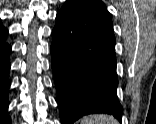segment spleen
Returning a JSON list of instances; mask_svg holds the SVG:
<instances>
[{
  "instance_id": "3e777b00",
  "label": "spleen",
  "mask_w": 156,
  "mask_h": 124,
  "mask_svg": "<svg viewBox=\"0 0 156 124\" xmlns=\"http://www.w3.org/2000/svg\"><path fill=\"white\" fill-rule=\"evenodd\" d=\"M80 124H118L117 120L108 115H89L82 118Z\"/></svg>"
}]
</instances>
